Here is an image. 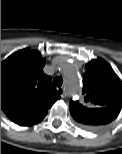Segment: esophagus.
I'll return each instance as SVG.
<instances>
[{
  "instance_id": "obj_1",
  "label": "esophagus",
  "mask_w": 122,
  "mask_h": 154,
  "mask_svg": "<svg viewBox=\"0 0 122 154\" xmlns=\"http://www.w3.org/2000/svg\"><path fill=\"white\" fill-rule=\"evenodd\" d=\"M57 91L60 94L61 98H65L66 93H65V88L64 87L58 88Z\"/></svg>"
}]
</instances>
